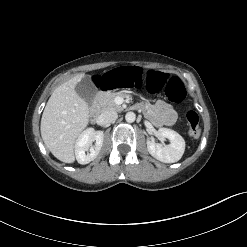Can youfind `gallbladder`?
Masks as SVG:
<instances>
[{"instance_id": "bac80fb5", "label": "gallbladder", "mask_w": 247, "mask_h": 247, "mask_svg": "<svg viewBox=\"0 0 247 247\" xmlns=\"http://www.w3.org/2000/svg\"><path fill=\"white\" fill-rule=\"evenodd\" d=\"M75 91L88 104L92 103L98 92L90 76H84L82 80L75 86Z\"/></svg>"}]
</instances>
